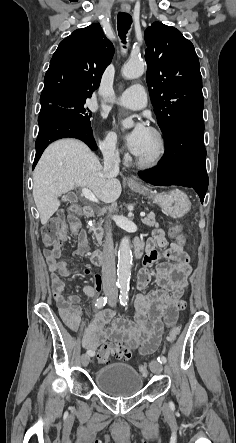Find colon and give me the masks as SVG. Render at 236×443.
<instances>
[{
	"mask_svg": "<svg viewBox=\"0 0 236 443\" xmlns=\"http://www.w3.org/2000/svg\"><path fill=\"white\" fill-rule=\"evenodd\" d=\"M67 222L73 233L79 232L81 208L77 204H70L66 208ZM64 223L60 219H54L49 222L43 229L44 241L54 249L56 253L60 252L59 239L64 236ZM171 236L179 245H185L187 242V234L184 228L175 224L171 228ZM180 327L174 326L168 336L167 344L173 347L179 337ZM132 351L130 348L118 343H106L102 345L98 352V361L102 364L111 362L113 360L127 361L131 358ZM139 372L143 376H147L148 371L144 364L139 366Z\"/></svg>",
	"mask_w": 236,
	"mask_h": 443,
	"instance_id": "1",
	"label": "colon"
}]
</instances>
